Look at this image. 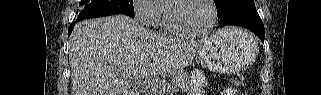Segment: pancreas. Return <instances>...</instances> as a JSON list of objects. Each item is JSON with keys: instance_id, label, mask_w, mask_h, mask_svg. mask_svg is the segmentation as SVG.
Segmentation results:
<instances>
[{"instance_id": "pancreas-1", "label": "pancreas", "mask_w": 321, "mask_h": 95, "mask_svg": "<svg viewBox=\"0 0 321 95\" xmlns=\"http://www.w3.org/2000/svg\"><path fill=\"white\" fill-rule=\"evenodd\" d=\"M171 81L165 82V90L163 86L160 89L151 88L149 90L150 95H163L165 92H168L171 88H179L182 90H190L192 88L190 76L186 71H178L170 74Z\"/></svg>"}]
</instances>
